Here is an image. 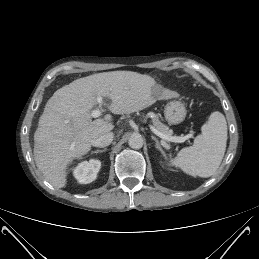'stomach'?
I'll list each match as a JSON object with an SVG mask.
<instances>
[{"label": "stomach", "mask_w": 259, "mask_h": 259, "mask_svg": "<svg viewBox=\"0 0 259 259\" xmlns=\"http://www.w3.org/2000/svg\"><path fill=\"white\" fill-rule=\"evenodd\" d=\"M164 116L168 123L179 124L183 122L186 117V108L180 101H170L165 107Z\"/></svg>", "instance_id": "0dacf381"}]
</instances>
